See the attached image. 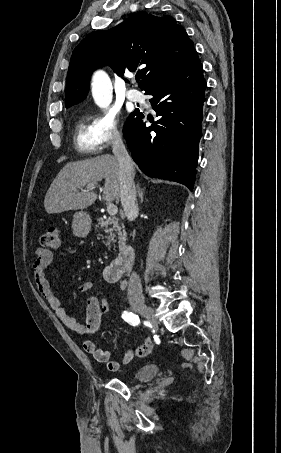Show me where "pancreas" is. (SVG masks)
<instances>
[{"instance_id":"1","label":"pancreas","mask_w":281,"mask_h":453,"mask_svg":"<svg viewBox=\"0 0 281 453\" xmlns=\"http://www.w3.org/2000/svg\"><path fill=\"white\" fill-rule=\"evenodd\" d=\"M99 227L109 235V243H115L114 231H118V239H126L124 224H120L119 218H98Z\"/></svg>"}]
</instances>
